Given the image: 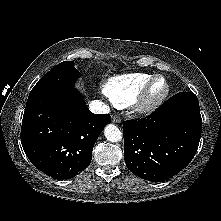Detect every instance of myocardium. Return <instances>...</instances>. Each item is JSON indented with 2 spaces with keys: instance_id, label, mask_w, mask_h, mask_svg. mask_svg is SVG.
I'll return each instance as SVG.
<instances>
[{
  "instance_id": "myocardium-1",
  "label": "myocardium",
  "mask_w": 221,
  "mask_h": 221,
  "mask_svg": "<svg viewBox=\"0 0 221 221\" xmlns=\"http://www.w3.org/2000/svg\"><path fill=\"white\" fill-rule=\"evenodd\" d=\"M163 80L165 82V90L157 97L152 96V88L156 81ZM171 86L169 80L163 75H154L144 85L138 97L134 101V110L138 114L147 115L156 111L167 99L170 94Z\"/></svg>"
}]
</instances>
